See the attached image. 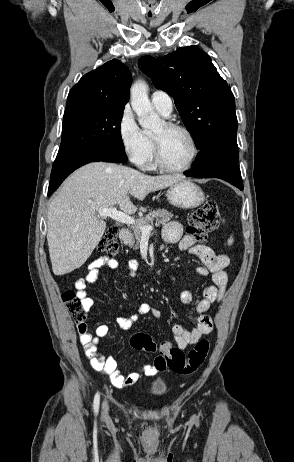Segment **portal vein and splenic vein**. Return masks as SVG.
<instances>
[{"mask_svg": "<svg viewBox=\"0 0 294 462\" xmlns=\"http://www.w3.org/2000/svg\"><path fill=\"white\" fill-rule=\"evenodd\" d=\"M98 216L101 218H111L119 223L133 225L136 224L135 220L121 211H118L116 208H104L98 210ZM140 230L143 236H149L151 231L153 230V226H140Z\"/></svg>", "mask_w": 294, "mask_h": 462, "instance_id": "1", "label": "portal vein and splenic vein"}]
</instances>
